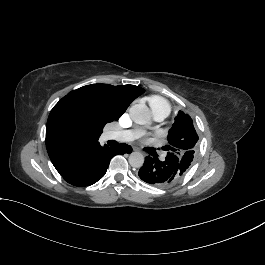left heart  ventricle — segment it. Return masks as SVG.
I'll return each mask as SVG.
<instances>
[{
  "instance_id": "1",
  "label": "left heart ventricle",
  "mask_w": 265,
  "mask_h": 265,
  "mask_svg": "<svg viewBox=\"0 0 265 265\" xmlns=\"http://www.w3.org/2000/svg\"><path fill=\"white\" fill-rule=\"evenodd\" d=\"M150 112V117H149V120L145 123V124H142L140 125V128L143 130V131H148V132H152V131H155L156 130V124H155V119H154V114L149 110Z\"/></svg>"
}]
</instances>
